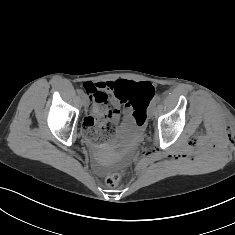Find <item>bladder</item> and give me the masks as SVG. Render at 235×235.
Here are the masks:
<instances>
[{"label": "bladder", "mask_w": 235, "mask_h": 235, "mask_svg": "<svg viewBox=\"0 0 235 235\" xmlns=\"http://www.w3.org/2000/svg\"><path fill=\"white\" fill-rule=\"evenodd\" d=\"M134 135V128L132 125H125L119 129V136L122 139H129Z\"/></svg>", "instance_id": "obj_1"}]
</instances>
